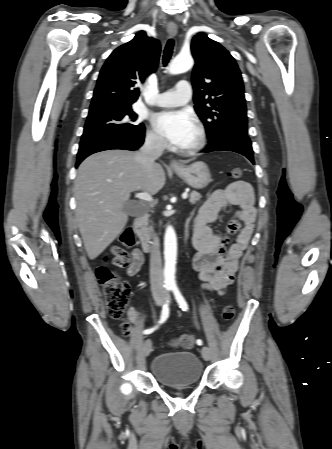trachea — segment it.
<instances>
[{"label":"trachea","mask_w":332,"mask_h":449,"mask_svg":"<svg viewBox=\"0 0 332 449\" xmlns=\"http://www.w3.org/2000/svg\"><path fill=\"white\" fill-rule=\"evenodd\" d=\"M173 48H174V40L173 39H169L165 49H164V53H163V64L164 66H166L169 62V60L171 59L172 53H173Z\"/></svg>","instance_id":"1"}]
</instances>
